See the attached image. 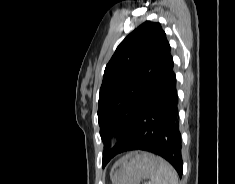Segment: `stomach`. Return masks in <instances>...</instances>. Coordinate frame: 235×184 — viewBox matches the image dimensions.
Wrapping results in <instances>:
<instances>
[{"label": "stomach", "instance_id": "0dacf381", "mask_svg": "<svg viewBox=\"0 0 235 184\" xmlns=\"http://www.w3.org/2000/svg\"><path fill=\"white\" fill-rule=\"evenodd\" d=\"M158 166V156L149 152H130L112 166L110 180L112 184H140L141 178H149Z\"/></svg>", "mask_w": 235, "mask_h": 184}]
</instances>
